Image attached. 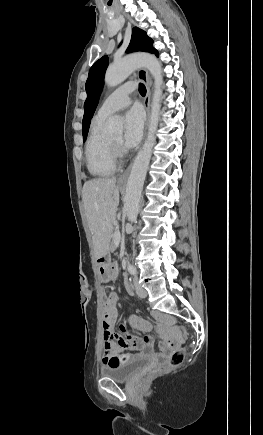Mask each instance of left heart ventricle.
Segmentation results:
<instances>
[{
  "label": "left heart ventricle",
  "instance_id": "b2bd125f",
  "mask_svg": "<svg viewBox=\"0 0 263 435\" xmlns=\"http://www.w3.org/2000/svg\"><path fill=\"white\" fill-rule=\"evenodd\" d=\"M121 139H122L121 135L113 136V137L110 138V140L113 143H115V144H120L121 143Z\"/></svg>",
  "mask_w": 263,
  "mask_h": 435
}]
</instances>
